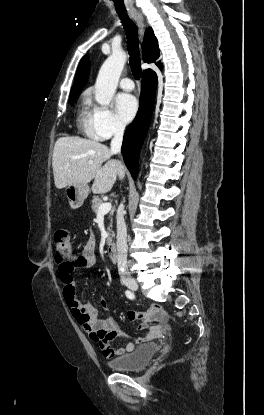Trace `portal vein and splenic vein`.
<instances>
[{"label":"portal vein and splenic vein","mask_w":264,"mask_h":415,"mask_svg":"<svg viewBox=\"0 0 264 415\" xmlns=\"http://www.w3.org/2000/svg\"><path fill=\"white\" fill-rule=\"evenodd\" d=\"M111 208H112V205H111L110 202L103 203L99 206V209H98L97 213L98 214H103V215L107 214L111 210Z\"/></svg>","instance_id":"18ae733b"}]
</instances>
